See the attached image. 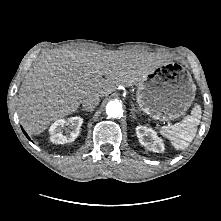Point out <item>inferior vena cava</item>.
Masks as SVG:
<instances>
[{
    "instance_id": "1",
    "label": "inferior vena cava",
    "mask_w": 221,
    "mask_h": 221,
    "mask_svg": "<svg viewBox=\"0 0 221 221\" xmlns=\"http://www.w3.org/2000/svg\"><path fill=\"white\" fill-rule=\"evenodd\" d=\"M100 102L98 95H89L82 100V105L86 109L93 110Z\"/></svg>"
}]
</instances>
